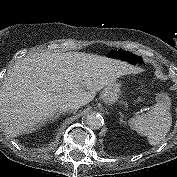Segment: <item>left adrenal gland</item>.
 Listing matches in <instances>:
<instances>
[{
  "mask_svg": "<svg viewBox=\"0 0 177 177\" xmlns=\"http://www.w3.org/2000/svg\"><path fill=\"white\" fill-rule=\"evenodd\" d=\"M119 114H120V123H124L125 124V122L123 120L124 115L121 112H119Z\"/></svg>",
  "mask_w": 177,
  "mask_h": 177,
  "instance_id": "a2214340",
  "label": "left adrenal gland"
}]
</instances>
